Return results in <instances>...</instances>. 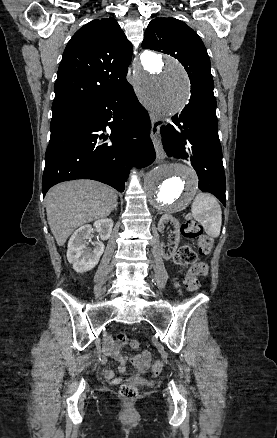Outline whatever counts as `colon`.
I'll list each match as a JSON object with an SVG mask.
<instances>
[{
	"mask_svg": "<svg viewBox=\"0 0 277 438\" xmlns=\"http://www.w3.org/2000/svg\"><path fill=\"white\" fill-rule=\"evenodd\" d=\"M182 235L188 239L194 241L195 247L190 245H182L175 252V261L187 268V275L184 279V285L188 291H196L200 287L199 278L206 275L208 272V266L196 259V252H202L208 254L212 251L214 244L210 237L204 233L202 225L193 220H187L182 223L180 229ZM117 339L120 344H130L132 347H136L135 341H128L127 336L124 333H118ZM162 371V363L156 361L152 368L151 373L153 376H158ZM119 398H122L124 402H136L138 398L143 396L141 389H135L131 386H124L117 392Z\"/></svg>",
	"mask_w": 277,
	"mask_h": 438,
	"instance_id": "obj_1",
	"label": "colon"
}]
</instances>
